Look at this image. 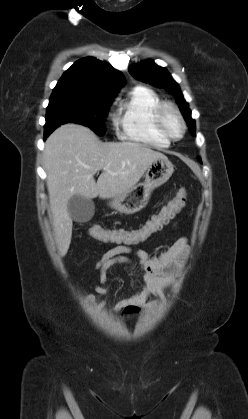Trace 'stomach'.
Segmentation results:
<instances>
[{"label": "stomach", "mask_w": 248, "mask_h": 419, "mask_svg": "<svg viewBox=\"0 0 248 419\" xmlns=\"http://www.w3.org/2000/svg\"><path fill=\"white\" fill-rule=\"evenodd\" d=\"M173 172V164L168 158L155 159L146 171L144 182L115 196L109 205L123 214H134L140 211L147 205L152 191L164 184Z\"/></svg>", "instance_id": "obj_1"}]
</instances>
